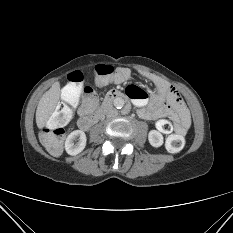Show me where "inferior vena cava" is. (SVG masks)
Wrapping results in <instances>:
<instances>
[{
  "label": "inferior vena cava",
  "mask_w": 233,
  "mask_h": 233,
  "mask_svg": "<svg viewBox=\"0 0 233 233\" xmlns=\"http://www.w3.org/2000/svg\"><path fill=\"white\" fill-rule=\"evenodd\" d=\"M117 115H118V112L113 106L110 105L106 108V116L108 118H113V117H116Z\"/></svg>",
  "instance_id": "inferior-vena-cava-1"
}]
</instances>
